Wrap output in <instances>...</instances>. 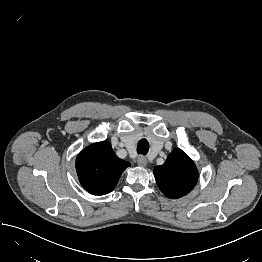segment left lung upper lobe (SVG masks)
I'll list each match as a JSON object with an SVG mask.
<instances>
[{
  "label": "left lung upper lobe",
  "instance_id": "left-lung-upper-lobe-1",
  "mask_svg": "<svg viewBox=\"0 0 262 262\" xmlns=\"http://www.w3.org/2000/svg\"><path fill=\"white\" fill-rule=\"evenodd\" d=\"M159 189L168 198H180L189 193L198 180L194 162L181 150L174 149L166 162L154 168Z\"/></svg>",
  "mask_w": 262,
  "mask_h": 262
}]
</instances>
